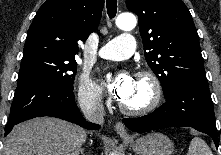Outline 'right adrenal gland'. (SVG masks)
<instances>
[{"label": "right adrenal gland", "instance_id": "right-adrenal-gland-1", "mask_svg": "<svg viewBox=\"0 0 221 155\" xmlns=\"http://www.w3.org/2000/svg\"><path fill=\"white\" fill-rule=\"evenodd\" d=\"M80 152H81V155H85V149L84 148H81Z\"/></svg>", "mask_w": 221, "mask_h": 155}]
</instances>
